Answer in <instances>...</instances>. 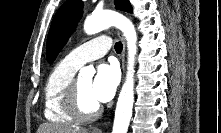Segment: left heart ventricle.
Instances as JSON below:
<instances>
[{"label":"left heart ventricle","instance_id":"left-heart-ventricle-1","mask_svg":"<svg viewBox=\"0 0 221 133\" xmlns=\"http://www.w3.org/2000/svg\"><path fill=\"white\" fill-rule=\"evenodd\" d=\"M77 82L83 109L87 112L92 111L97 105V102L93 99L91 95L92 80L80 79Z\"/></svg>","mask_w":221,"mask_h":133}]
</instances>
